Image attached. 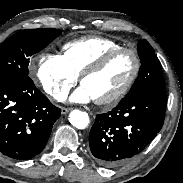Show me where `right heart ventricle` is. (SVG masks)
<instances>
[{
  "instance_id": "right-heart-ventricle-1",
  "label": "right heart ventricle",
  "mask_w": 183,
  "mask_h": 183,
  "mask_svg": "<svg viewBox=\"0 0 183 183\" xmlns=\"http://www.w3.org/2000/svg\"><path fill=\"white\" fill-rule=\"evenodd\" d=\"M121 45L106 37L88 36L63 46V57L68 67L77 75L96 62L107 52Z\"/></svg>"
}]
</instances>
